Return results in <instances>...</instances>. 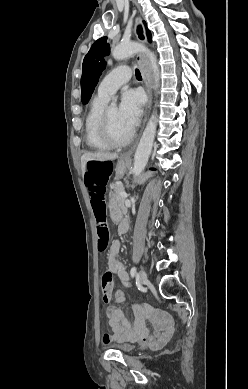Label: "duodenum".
<instances>
[{
	"label": "duodenum",
	"instance_id": "410a0bca",
	"mask_svg": "<svg viewBox=\"0 0 248 389\" xmlns=\"http://www.w3.org/2000/svg\"><path fill=\"white\" fill-rule=\"evenodd\" d=\"M119 232H120L121 234L125 233V226H124L123 224H121L120 229H119Z\"/></svg>",
	"mask_w": 248,
	"mask_h": 389
}]
</instances>
